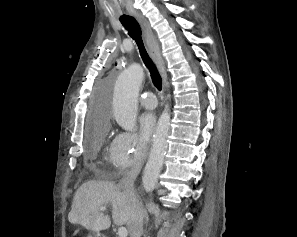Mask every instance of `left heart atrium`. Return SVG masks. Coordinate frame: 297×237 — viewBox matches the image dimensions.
Segmentation results:
<instances>
[{
    "mask_svg": "<svg viewBox=\"0 0 297 237\" xmlns=\"http://www.w3.org/2000/svg\"><path fill=\"white\" fill-rule=\"evenodd\" d=\"M140 131L141 135L145 140H149L153 135L156 127V117L154 113H144L140 119Z\"/></svg>",
    "mask_w": 297,
    "mask_h": 237,
    "instance_id": "1",
    "label": "left heart atrium"
}]
</instances>
